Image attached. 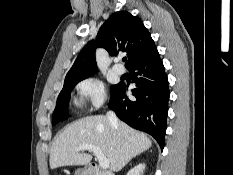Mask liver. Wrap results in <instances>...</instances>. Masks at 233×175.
<instances>
[{"label": "liver", "instance_id": "liver-1", "mask_svg": "<svg viewBox=\"0 0 233 175\" xmlns=\"http://www.w3.org/2000/svg\"><path fill=\"white\" fill-rule=\"evenodd\" d=\"M83 144L99 147L109 160V169L119 171L149 149L152 142L146 134L124 122L113 126L107 116H88L73 122L56 137L50 150V168L89 163L92 156L77 150Z\"/></svg>", "mask_w": 233, "mask_h": 175}]
</instances>
